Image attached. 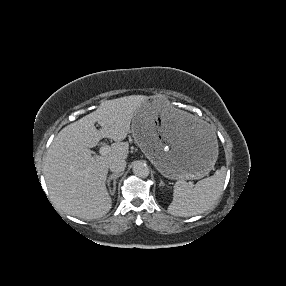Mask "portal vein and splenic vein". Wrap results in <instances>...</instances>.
<instances>
[{
    "label": "portal vein and splenic vein",
    "mask_w": 286,
    "mask_h": 286,
    "mask_svg": "<svg viewBox=\"0 0 286 286\" xmlns=\"http://www.w3.org/2000/svg\"><path fill=\"white\" fill-rule=\"evenodd\" d=\"M109 152H110V146H109V145H103V146H101L100 149H99V153H100L101 155H106V154H108Z\"/></svg>",
    "instance_id": "18ae733b"
}]
</instances>
